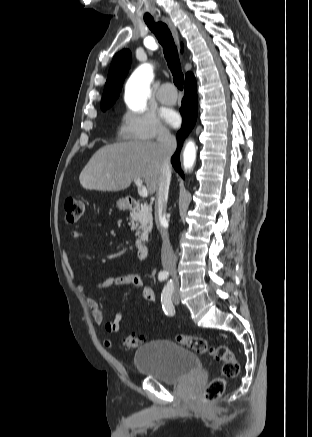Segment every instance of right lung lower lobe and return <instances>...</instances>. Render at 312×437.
I'll list each match as a JSON object with an SVG mask.
<instances>
[{
    "label": "right lung lower lobe",
    "instance_id": "1",
    "mask_svg": "<svg viewBox=\"0 0 312 437\" xmlns=\"http://www.w3.org/2000/svg\"><path fill=\"white\" fill-rule=\"evenodd\" d=\"M185 96L182 100V106L180 112L183 117V123L181 129L177 133V150L171 158V163L174 169L184 179V173L180 166V150L183 144V140L190 133L195 125L197 119V89L196 80L193 74L186 77L185 81Z\"/></svg>",
    "mask_w": 312,
    "mask_h": 437
}]
</instances>
